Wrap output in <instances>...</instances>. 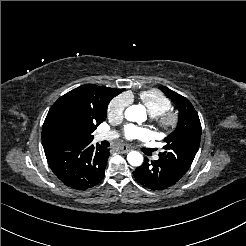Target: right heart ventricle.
I'll return each mask as SVG.
<instances>
[{
    "label": "right heart ventricle",
    "instance_id": "1",
    "mask_svg": "<svg viewBox=\"0 0 246 246\" xmlns=\"http://www.w3.org/2000/svg\"><path fill=\"white\" fill-rule=\"evenodd\" d=\"M138 98L152 117L160 115L172 107L169 97L156 88L141 91Z\"/></svg>",
    "mask_w": 246,
    "mask_h": 246
}]
</instances>
